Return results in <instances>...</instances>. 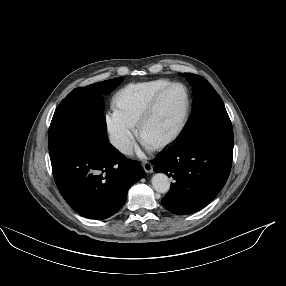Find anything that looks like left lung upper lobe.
<instances>
[{"label":"left lung upper lobe","instance_id":"obj_1","mask_svg":"<svg viewBox=\"0 0 286 286\" xmlns=\"http://www.w3.org/2000/svg\"><path fill=\"white\" fill-rule=\"evenodd\" d=\"M194 87L193 113L176 145L187 146L203 139H233L232 124L224 103L203 77L183 73Z\"/></svg>","mask_w":286,"mask_h":286}]
</instances>
